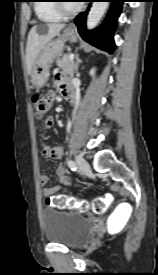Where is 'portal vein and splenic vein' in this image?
<instances>
[{
  "label": "portal vein and splenic vein",
  "instance_id": "portal-vein-and-splenic-vein-1",
  "mask_svg": "<svg viewBox=\"0 0 158 275\" xmlns=\"http://www.w3.org/2000/svg\"><path fill=\"white\" fill-rule=\"evenodd\" d=\"M73 59H74V54H71L70 55V60L73 61Z\"/></svg>",
  "mask_w": 158,
  "mask_h": 275
}]
</instances>
